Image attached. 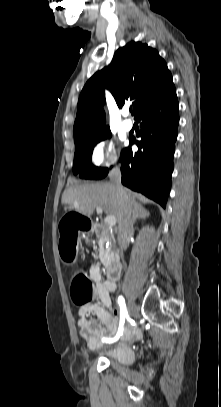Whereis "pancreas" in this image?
<instances>
[{
	"label": "pancreas",
	"instance_id": "cf45deb5",
	"mask_svg": "<svg viewBox=\"0 0 221 407\" xmlns=\"http://www.w3.org/2000/svg\"><path fill=\"white\" fill-rule=\"evenodd\" d=\"M99 238H100V243H99L100 260H101V262L103 263V265L105 267H108L110 265L111 261H112V258H113L112 249H113V246H114V244H113L114 235L109 229L104 228L102 230L101 235H100ZM107 243H108V246L104 249L103 245L107 244Z\"/></svg>",
	"mask_w": 221,
	"mask_h": 407
}]
</instances>
